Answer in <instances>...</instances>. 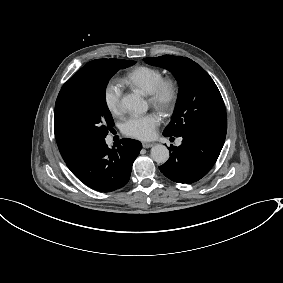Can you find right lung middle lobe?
I'll return each instance as SVG.
<instances>
[{"mask_svg": "<svg viewBox=\"0 0 283 283\" xmlns=\"http://www.w3.org/2000/svg\"><path fill=\"white\" fill-rule=\"evenodd\" d=\"M135 63L100 59L90 66L84 80L64 85L55 104L54 123L58 129L86 143L104 139L114 125L106 104V86L117 71Z\"/></svg>", "mask_w": 283, "mask_h": 283, "instance_id": "obj_1", "label": "right lung middle lobe"}]
</instances>
